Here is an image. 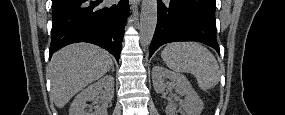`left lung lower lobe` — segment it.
I'll return each mask as SVG.
<instances>
[{
    "label": "left lung lower lobe",
    "mask_w": 285,
    "mask_h": 115,
    "mask_svg": "<svg viewBox=\"0 0 285 115\" xmlns=\"http://www.w3.org/2000/svg\"><path fill=\"white\" fill-rule=\"evenodd\" d=\"M215 0H158L157 26L150 56L163 44L197 41L220 53L216 40Z\"/></svg>",
    "instance_id": "left-lung-lower-lobe-1"
}]
</instances>
